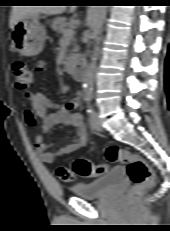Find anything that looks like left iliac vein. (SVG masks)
I'll use <instances>...</instances> for the list:
<instances>
[{
    "label": "left iliac vein",
    "instance_id": "4c4485c4",
    "mask_svg": "<svg viewBox=\"0 0 170 231\" xmlns=\"http://www.w3.org/2000/svg\"><path fill=\"white\" fill-rule=\"evenodd\" d=\"M90 124L94 130L102 131V125H101L100 119L98 117V113L96 111H93L90 114Z\"/></svg>",
    "mask_w": 170,
    "mask_h": 231
}]
</instances>
